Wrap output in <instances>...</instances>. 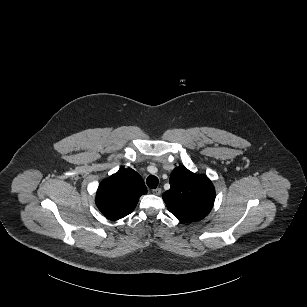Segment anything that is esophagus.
Masks as SVG:
<instances>
[{"instance_id":"obj_1","label":"esophagus","mask_w":307,"mask_h":307,"mask_svg":"<svg viewBox=\"0 0 307 307\" xmlns=\"http://www.w3.org/2000/svg\"><path fill=\"white\" fill-rule=\"evenodd\" d=\"M161 191H162L161 188H156V189H153V190H152V193H153L154 195L159 196V195L161 194Z\"/></svg>"}]
</instances>
